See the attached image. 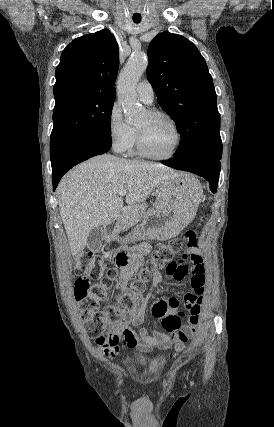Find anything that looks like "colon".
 <instances>
[{"label":"colon","instance_id":"1","mask_svg":"<svg viewBox=\"0 0 274 427\" xmlns=\"http://www.w3.org/2000/svg\"><path fill=\"white\" fill-rule=\"evenodd\" d=\"M191 231L193 232V236H198L197 230L193 229ZM182 237L183 236L179 238ZM179 238L161 243L156 248L150 257V260L147 262L145 269L141 271L140 278L138 280L132 281L130 289L119 293V299L123 303L129 304L132 302V295L134 292H138L143 288L141 281L146 280L152 272L157 269L165 270V267L169 262L179 259L183 254L186 253L183 252V247H187L189 245H183L182 243H179ZM138 256L139 249L136 246H129L126 249V252L121 249L111 254L108 258L111 263V267L107 270L106 274L102 278L104 287L106 289H110L112 287L116 275L115 269H119L120 267L126 265L129 259H136ZM73 270L75 275L79 276L74 283L75 294L81 298L85 297L89 291V283L87 279L94 277L99 273L100 264L96 259L89 258V253L87 251H80L78 253V259L75 262ZM104 301L105 298L102 294H98L97 298H82L81 318L89 336L94 341H96L99 333L104 330L106 317L112 319L115 318L118 314V311L113 306H108L106 313L100 312L98 310L99 303H103ZM185 350L186 349L184 345H177L175 350L168 351L167 360L170 361L171 359L177 358L178 364H189V355H178L184 354Z\"/></svg>","mask_w":274,"mask_h":427}]
</instances>
